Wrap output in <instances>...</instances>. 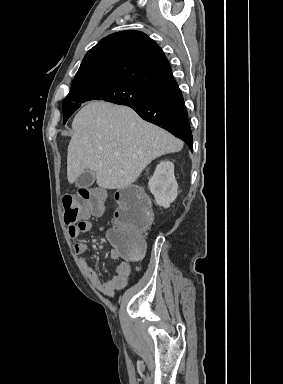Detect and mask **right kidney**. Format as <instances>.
Returning <instances> with one entry per match:
<instances>
[{
	"instance_id": "obj_1",
	"label": "right kidney",
	"mask_w": 283,
	"mask_h": 384,
	"mask_svg": "<svg viewBox=\"0 0 283 384\" xmlns=\"http://www.w3.org/2000/svg\"><path fill=\"white\" fill-rule=\"evenodd\" d=\"M148 186L156 204L163 206V208H170V204L176 200L178 194L174 164L172 162H160L152 178H150Z\"/></svg>"
}]
</instances>
